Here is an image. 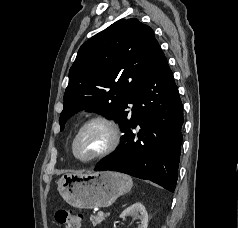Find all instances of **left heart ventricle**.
I'll return each instance as SVG.
<instances>
[{"instance_id": "b2bd125f", "label": "left heart ventricle", "mask_w": 238, "mask_h": 228, "mask_svg": "<svg viewBox=\"0 0 238 228\" xmlns=\"http://www.w3.org/2000/svg\"><path fill=\"white\" fill-rule=\"evenodd\" d=\"M109 141L105 127L96 124L86 129L77 141L76 153L81 158H90L101 152Z\"/></svg>"}]
</instances>
